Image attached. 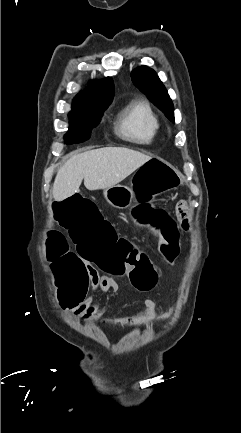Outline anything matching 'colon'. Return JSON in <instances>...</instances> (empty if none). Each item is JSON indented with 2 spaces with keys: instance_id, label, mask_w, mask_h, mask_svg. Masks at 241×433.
<instances>
[{
  "instance_id": "obj_1",
  "label": "colon",
  "mask_w": 241,
  "mask_h": 433,
  "mask_svg": "<svg viewBox=\"0 0 241 433\" xmlns=\"http://www.w3.org/2000/svg\"><path fill=\"white\" fill-rule=\"evenodd\" d=\"M134 180L139 181L133 192L138 196L141 207L133 210L142 216L149 233L156 236L158 249L167 264H173L179 255L180 238L184 231L178 226L180 219L165 207H151L160 195L180 186L184 174L180 168H173L163 157H146L137 167ZM151 195V196H146ZM53 221H59L61 229H69L68 238L75 243L78 257L89 261L100 272L112 270L122 276L129 274L138 290H149L156 283V271L149 257L136 249L128 235L121 237L112 220H104L100 205H93L87 192H73L65 202H51ZM68 250L64 236L53 231L49 235L47 259L53 265L55 285L63 304L64 312H71L73 305H84L90 292V272L81 258ZM52 269L50 264L45 266Z\"/></svg>"
}]
</instances>
